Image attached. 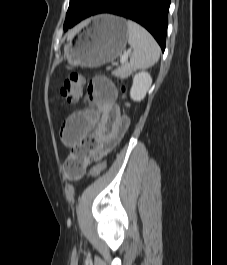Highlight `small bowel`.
<instances>
[{
  "label": "small bowel",
  "instance_id": "obj_1",
  "mask_svg": "<svg viewBox=\"0 0 227 265\" xmlns=\"http://www.w3.org/2000/svg\"><path fill=\"white\" fill-rule=\"evenodd\" d=\"M87 98L92 107L71 113L60 129L62 143L84 155V165L74 178L80 177L92 161L108 154L129 126V119L116 103L117 89L107 77L90 81Z\"/></svg>",
  "mask_w": 227,
  "mask_h": 265
}]
</instances>
